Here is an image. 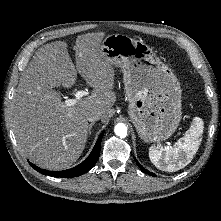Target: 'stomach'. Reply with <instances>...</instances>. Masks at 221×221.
<instances>
[{"mask_svg":"<svg viewBox=\"0 0 221 221\" xmlns=\"http://www.w3.org/2000/svg\"><path fill=\"white\" fill-rule=\"evenodd\" d=\"M101 50L124 74L128 113L145 142L168 139L181 120V87L171 69L144 42L111 34Z\"/></svg>","mask_w":221,"mask_h":221,"instance_id":"obj_1","label":"stomach"}]
</instances>
